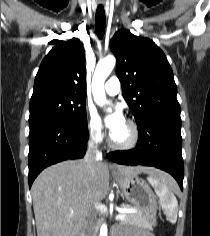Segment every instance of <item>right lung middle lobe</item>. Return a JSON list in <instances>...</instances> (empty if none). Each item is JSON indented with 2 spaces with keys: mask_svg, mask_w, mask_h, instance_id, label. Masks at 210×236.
<instances>
[{
  "mask_svg": "<svg viewBox=\"0 0 210 236\" xmlns=\"http://www.w3.org/2000/svg\"><path fill=\"white\" fill-rule=\"evenodd\" d=\"M86 97L69 94H51L30 101L29 126L56 120L86 125Z\"/></svg>",
  "mask_w": 210,
  "mask_h": 236,
  "instance_id": "dd1d6c3e",
  "label": "right lung middle lobe"
}]
</instances>
